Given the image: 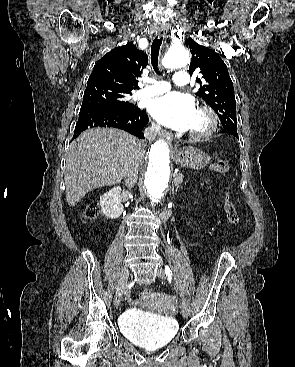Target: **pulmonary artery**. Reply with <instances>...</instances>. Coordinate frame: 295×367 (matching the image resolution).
I'll list each match as a JSON object with an SVG mask.
<instances>
[{
    "label": "pulmonary artery",
    "instance_id": "1",
    "mask_svg": "<svg viewBox=\"0 0 295 367\" xmlns=\"http://www.w3.org/2000/svg\"><path fill=\"white\" fill-rule=\"evenodd\" d=\"M173 81L178 86H186L190 82L189 74L186 71H178L174 74ZM170 90V84L167 81H153L151 85L138 91L134 98L136 100L147 99L159 96Z\"/></svg>",
    "mask_w": 295,
    "mask_h": 367
}]
</instances>
